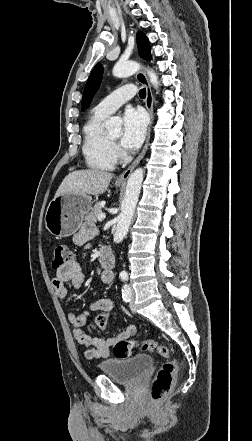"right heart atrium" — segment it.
<instances>
[{
  "instance_id": "obj_1",
  "label": "right heart atrium",
  "mask_w": 252,
  "mask_h": 441,
  "mask_svg": "<svg viewBox=\"0 0 252 441\" xmlns=\"http://www.w3.org/2000/svg\"><path fill=\"white\" fill-rule=\"evenodd\" d=\"M114 150H115V153H116V154H118V153H119V150H118V148H117V147H114Z\"/></svg>"
}]
</instances>
